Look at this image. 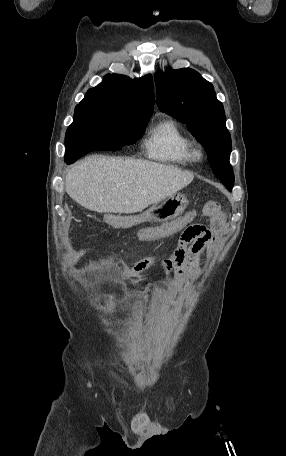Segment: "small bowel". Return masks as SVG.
<instances>
[{
    "mask_svg": "<svg viewBox=\"0 0 286 456\" xmlns=\"http://www.w3.org/2000/svg\"><path fill=\"white\" fill-rule=\"evenodd\" d=\"M196 211H191L182 217H179L169 223L146 227L141 229L137 237L140 240L151 241L166 238L181 232L177 247L172 255L160 264L162 276L167 275L174 270L178 280L182 283L186 274L197 280L199 278L198 262L200 255L204 250L211 251L216 244V234L219 233L225 225V214L217 209L210 213V225L190 224L196 217ZM90 249L88 247H79L72 251L70 259L76 261L84 256ZM156 261V257L148 256L132 267V275L138 277L145 270L151 267Z\"/></svg>",
    "mask_w": 286,
    "mask_h": 456,
    "instance_id": "small-bowel-1",
    "label": "small bowel"
}]
</instances>
